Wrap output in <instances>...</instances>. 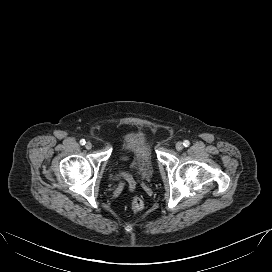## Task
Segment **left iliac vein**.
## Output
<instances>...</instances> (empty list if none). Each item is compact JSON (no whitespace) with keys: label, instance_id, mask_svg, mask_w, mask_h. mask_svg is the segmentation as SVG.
<instances>
[{"label":"left iliac vein","instance_id":"obj_1","mask_svg":"<svg viewBox=\"0 0 272 272\" xmlns=\"http://www.w3.org/2000/svg\"><path fill=\"white\" fill-rule=\"evenodd\" d=\"M175 147H176L177 150L180 151V150L183 149V143L182 142H177Z\"/></svg>","mask_w":272,"mask_h":272}]
</instances>
